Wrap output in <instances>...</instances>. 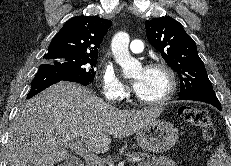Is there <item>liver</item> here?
Here are the masks:
<instances>
[{
  "instance_id": "liver-1",
  "label": "liver",
  "mask_w": 231,
  "mask_h": 166,
  "mask_svg": "<svg viewBox=\"0 0 231 166\" xmlns=\"http://www.w3.org/2000/svg\"><path fill=\"white\" fill-rule=\"evenodd\" d=\"M163 108L119 110L86 87L61 81L25 103L9 128L7 166H54L68 158L62 139H83L97 154L111 136L124 138L156 120Z\"/></svg>"
}]
</instances>
